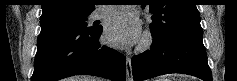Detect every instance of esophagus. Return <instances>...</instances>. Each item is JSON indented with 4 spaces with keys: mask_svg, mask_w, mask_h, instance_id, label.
Returning <instances> with one entry per match:
<instances>
[{
    "mask_svg": "<svg viewBox=\"0 0 237 81\" xmlns=\"http://www.w3.org/2000/svg\"><path fill=\"white\" fill-rule=\"evenodd\" d=\"M126 71L127 81H133L131 58L129 56L126 57Z\"/></svg>",
    "mask_w": 237,
    "mask_h": 81,
    "instance_id": "1",
    "label": "esophagus"
}]
</instances>
